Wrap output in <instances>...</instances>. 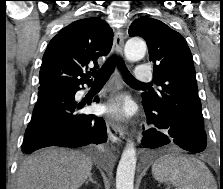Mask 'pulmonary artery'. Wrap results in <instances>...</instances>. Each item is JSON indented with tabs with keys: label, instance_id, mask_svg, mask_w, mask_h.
<instances>
[{
	"label": "pulmonary artery",
	"instance_id": "e3ab8cb5",
	"mask_svg": "<svg viewBox=\"0 0 223 189\" xmlns=\"http://www.w3.org/2000/svg\"><path fill=\"white\" fill-rule=\"evenodd\" d=\"M134 78L139 82H148L152 79V72L146 65H139L134 73Z\"/></svg>",
	"mask_w": 223,
	"mask_h": 189
}]
</instances>
